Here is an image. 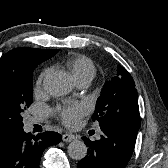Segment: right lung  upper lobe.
<instances>
[{"instance_id": "cb5924a9", "label": "right lung upper lobe", "mask_w": 168, "mask_h": 168, "mask_svg": "<svg viewBox=\"0 0 168 168\" xmlns=\"http://www.w3.org/2000/svg\"><path fill=\"white\" fill-rule=\"evenodd\" d=\"M58 49L15 48L0 58V94L9 91L14 81L29 72L41 62L51 58ZM4 132L0 131V135Z\"/></svg>"}]
</instances>
